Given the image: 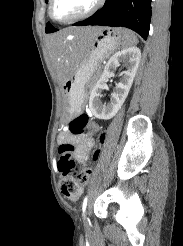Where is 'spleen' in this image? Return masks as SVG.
<instances>
[{
    "label": "spleen",
    "mask_w": 183,
    "mask_h": 246,
    "mask_svg": "<svg viewBox=\"0 0 183 246\" xmlns=\"http://www.w3.org/2000/svg\"><path fill=\"white\" fill-rule=\"evenodd\" d=\"M123 35H124V42L122 44L123 47L136 45L138 43V39L133 32L128 30H123Z\"/></svg>",
    "instance_id": "1"
}]
</instances>
